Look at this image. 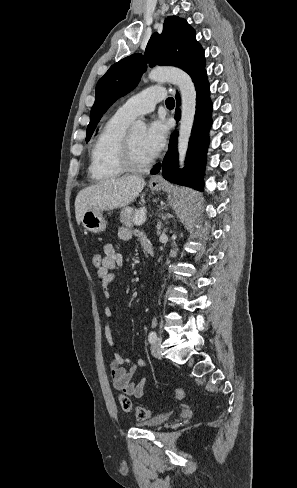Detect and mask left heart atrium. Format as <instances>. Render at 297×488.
I'll return each instance as SVG.
<instances>
[{
	"label": "left heart atrium",
	"instance_id": "1",
	"mask_svg": "<svg viewBox=\"0 0 297 488\" xmlns=\"http://www.w3.org/2000/svg\"><path fill=\"white\" fill-rule=\"evenodd\" d=\"M168 126L161 119L153 120L143 135L142 144L151 158L157 156L166 143Z\"/></svg>",
	"mask_w": 297,
	"mask_h": 488
}]
</instances>
